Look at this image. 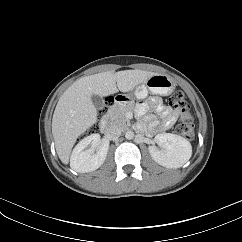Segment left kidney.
I'll return each mask as SVG.
<instances>
[{"label":"left kidney","mask_w":242,"mask_h":242,"mask_svg":"<svg viewBox=\"0 0 242 242\" xmlns=\"http://www.w3.org/2000/svg\"><path fill=\"white\" fill-rule=\"evenodd\" d=\"M160 148L149 147L153 160L166 168L182 167L192 155L190 142L182 136L162 133L155 137Z\"/></svg>","instance_id":"obj_1"}]
</instances>
